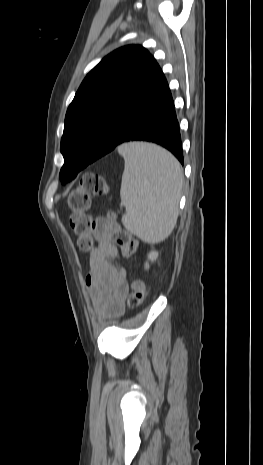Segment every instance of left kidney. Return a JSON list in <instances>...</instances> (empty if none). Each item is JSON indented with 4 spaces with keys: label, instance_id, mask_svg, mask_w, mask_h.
Segmentation results:
<instances>
[{
    "label": "left kidney",
    "instance_id": "obj_1",
    "mask_svg": "<svg viewBox=\"0 0 263 465\" xmlns=\"http://www.w3.org/2000/svg\"><path fill=\"white\" fill-rule=\"evenodd\" d=\"M157 256H158V254H157L156 252H151V253H149V255H148V259H150V260H155V259L157 258ZM145 268H146V269L149 268V264H148V263L145 264Z\"/></svg>",
    "mask_w": 263,
    "mask_h": 465
}]
</instances>
